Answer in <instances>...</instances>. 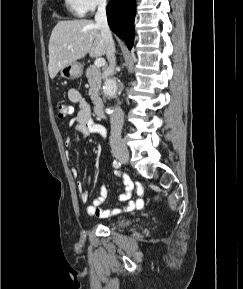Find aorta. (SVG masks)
Here are the masks:
<instances>
[{
    "label": "aorta",
    "mask_w": 243,
    "mask_h": 289,
    "mask_svg": "<svg viewBox=\"0 0 243 289\" xmlns=\"http://www.w3.org/2000/svg\"><path fill=\"white\" fill-rule=\"evenodd\" d=\"M104 94L108 97H114L117 93L118 86L114 79H109L105 82L104 85Z\"/></svg>",
    "instance_id": "762f6f07"
}]
</instances>
